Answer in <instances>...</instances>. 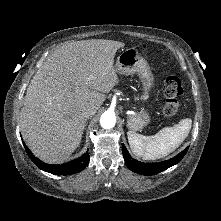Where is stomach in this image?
Wrapping results in <instances>:
<instances>
[{"label":"stomach","mask_w":221,"mask_h":221,"mask_svg":"<svg viewBox=\"0 0 221 221\" xmlns=\"http://www.w3.org/2000/svg\"><path fill=\"white\" fill-rule=\"evenodd\" d=\"M115 68L122 75H140L144 90L141 99L146 101L149 98V91L153 86L152 74L147 61L140 56V53L135 48L124 50L118 56ZM149 123L150 115L144 108L128 115L127 126L133 132L142 130Z\"/></svg>","instance_id":"1"}]
</instances>
